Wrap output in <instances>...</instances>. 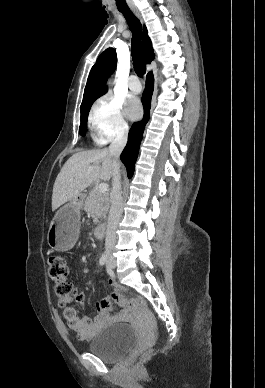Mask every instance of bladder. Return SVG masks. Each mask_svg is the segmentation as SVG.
<instances>
[{
    "mask_svg": "<svg viewBox=\"0 0 265 388\" xmlns=\"http://www.w3.org/2000/svg\"><path fill=\"white\" fill-rule=\"evenodd\" d=\"M137 334L128 324H115L99 332L88 350L102 358H116L135 343Z\"/></svg>",
    "mask_w": 265,
    "mask_h": 388,
    "instance_id": "obj_1",
    "label": "bladder"
}]
</instances>
